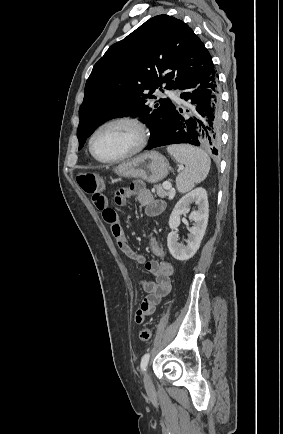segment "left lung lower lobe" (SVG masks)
<instances>
[{"label": "left lung lower lobe", "mask_w": 283, "mask_h": 434, "mask_svg": "<svg viewBox=\"0 0 283 434\" xmlns=\"http://www.w3.org/2000/svg\"><path fill=\"white\" fill-rule=\"evenodd\" d=\"M180 97L191 109L183 113L175 108L170 120L148 149L186 143L210 148L218 155L221 136V93L213 62L187 80L179 89Z\"/></svg>", "instance_id": "0a47b994"}]
</instances>
